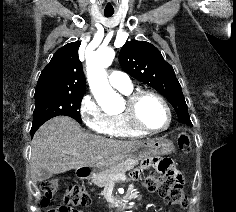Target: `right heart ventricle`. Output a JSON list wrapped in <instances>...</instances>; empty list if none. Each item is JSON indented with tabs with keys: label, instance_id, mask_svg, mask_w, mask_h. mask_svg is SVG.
Returning <instances> with one entry per match:
<instances>
[{
	"label": "right heart ventricle",
	"instance_id": "obj_1",
	"mask_svg": "<svg viewBox=\"0 0 236 212\" xmlns=\"http://www.w3.org/2000/svg\"><path fill=\"white\" fill-rule=\"evenodd\" d=\"M118 90L124 95H128L130 92L133 91V86L131 85L127 88ZM104 134L116 138H135L144 135L143 133H140L130 127L121 114L108 116L106 130Z\"/></svg>",
	"mask_w": 236,
	"mask_h": 212
}]
</instances>
